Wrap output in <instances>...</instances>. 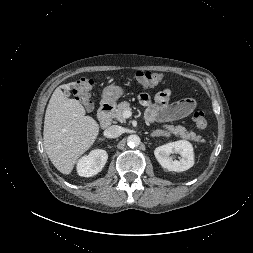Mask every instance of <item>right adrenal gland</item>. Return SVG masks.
<instances>
[{"instance_id":"obj_1","label":"right adrenal gland","mask_w":253,"mask_h":253,"mask_svg":"<svg viewBox=\"0 0 253 253\" xmlns=\"http://www.w3.org/2000/svg\"><path fill=\"white\" fill-rule=\"evenodd\" d=\"M99 140H101V141H105L106 139H105V138H100Z\"/></svg>"}]
</instances>
